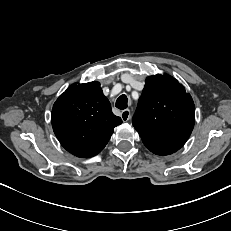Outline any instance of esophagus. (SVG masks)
<instances>
[{"instance_id":"esophagus-1","label":"esophagus","mask_w":231,"mask_h":231,"mask_svg":"<svg viewBox=\"0 0 231 231\" xmlns=\"http://www.w3.org/2000/svg\"><path fill=\"white\" fill-rule=\"evenodd\" d=\"M120 116L124 122H127L130 119V110L129 109L123 110Z\"/></svg>"}]
</instances>
